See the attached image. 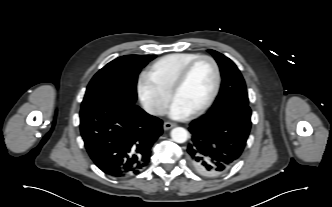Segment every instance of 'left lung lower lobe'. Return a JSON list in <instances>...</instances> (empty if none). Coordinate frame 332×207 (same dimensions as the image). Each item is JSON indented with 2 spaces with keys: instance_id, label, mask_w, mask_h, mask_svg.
<instances>
[{
  "instance_id": "0a47b994",
  "label": "left lung lower lobe",
  "mask_w": 332,
  "mask_h": 207,
  "mask_svg": "<svg viewBox=\"0 0 332 207\" xmlns=\"http://www.w3.org/2000/svg\"><path fill=\"white\" fill-rule=\"evenodd\" d=\"M251 129V109L230 104L190 123L187 147L191 167L203 176L215 177L229 170L240 158Z\"/></svg>"
}]
</instances>
